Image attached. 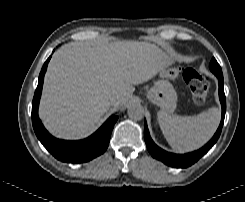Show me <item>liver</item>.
<instances>
[{
	"label": "liver",
	"instance_id": "1",
	"mask_svg": "<svg viewBox=\"0 0 245 202\" xmlns=\"http://www.w3.org/2000/svg\"><path fill=\"white\" fill-rule=\"evenodd\" d=\"M170 65L156 45L139 41L69 43L58 49L47 69L39 115L47 130L64 139L83 138L109 109L126 103L134 85Z\"/></svg>",
	"mask_w": 245,
	"mask_h": 202
}]
</instances>
